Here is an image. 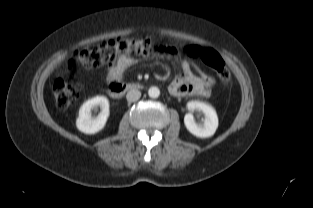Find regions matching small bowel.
<instances>
[{
    "instance_id": "1",
    "label": "small bowel",
    "mask_w": 313,
    "mask_h": 208,
    "mask_svg": "<svg viewBox=\"0 0 313 208\" xmlns=\"http://www.w3.org/2000/svg\"><path fill=\"white\" fill-rule=\"evenodd\" d=\"M175 56V53H173ZM137 60L129 54L121 53L114 56L108 65V80L118 82L124 72ZM176 73L173 76L168 90L177 97H208L211 94L212 86L208 84L201 74L192 71L190 62L186 59L174 57Z\"/></svg>"
}]
</instances>
